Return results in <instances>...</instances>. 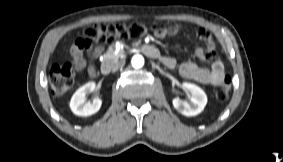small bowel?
I'll return each instance as SVG.
<instances>
[{
  "label": "small bowel",
  "instance_id": "1",
  "mask_svg": "<svg viewBox=\"0 0 283 162\" xmlns=\"http://www.w3.org/2000/svg\"><path fill=\"white\" fill-rule=\"evenodd\" d=\"M179 30L180 26L178 24L171 23L163 28L157 29L155 36L163 39L167 36L178 34ZM198 36L205 42L206 47L197 48L195 55L202 61L211 60V66L210 68H204L195 62L186 61L179 67L180 74L184 78L192 79L202 84L218 85L226 77L224 64L219 58L214 56L215 44L209 32L201 28L198 31ZM102 51V47H93L86 39L79 38L70 49L72 66L78 71L86 69L92 79H97L102 72L94 65L93 60L96 59ZM162 62L169 68L176 66V60L170 56H163Z\"/></svg>",
  "mask_w": 283,
  "mask_h": 162
}]
</instances>
